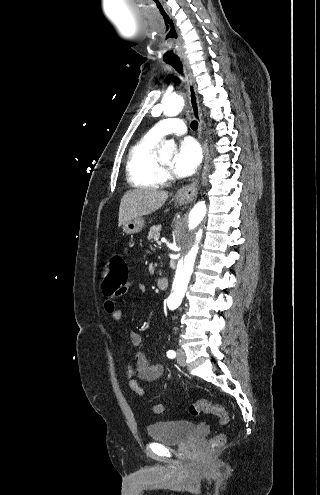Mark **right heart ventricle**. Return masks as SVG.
I'll return each instance as SVG.
<instances>
[{
	"instance_id": "e07e8e85",
	"label": "right heart ventricle",
	"mask_w": 320,
	"mask_h": 495,
	"mask_svg": "<svg viewBox=\"0 0 320 495\" xmlns=\"http://www.w3.org/2000/svg\"><path fill=\"white\" fill-rule=\"evenodd\" d=\"M160 139L146 133L129 149L126 161L128 182L138 188H157L163 183L161 168L155 154Z\"/></svg>"
}]
</instances>
